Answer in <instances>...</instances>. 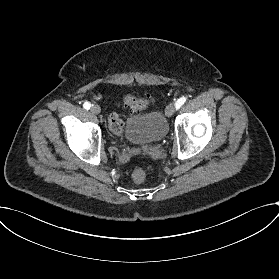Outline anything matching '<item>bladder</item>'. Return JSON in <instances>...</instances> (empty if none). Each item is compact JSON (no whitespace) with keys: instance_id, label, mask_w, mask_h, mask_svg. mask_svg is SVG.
Instances as JSON below:
<instances>
[{"instance_id":"31cf9c89","label":"bladder","mask_w":279,"mask_h":279,"mask_svg":"<svg viewBox=\"0 0 279 279\" xmlns=\"http://www.w3.org/2000/svg\"><path fill=\"white\" fill-rule=\"evenodd\" d=\"M167 131V116L159 109L125 120L126 136L132 145L149 146L158 143L165 137Z\"/></svg>"}]
</instances>
